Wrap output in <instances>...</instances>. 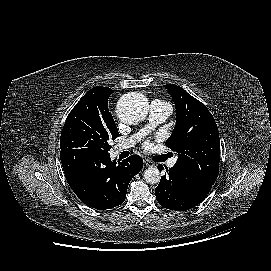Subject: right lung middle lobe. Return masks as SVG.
Returning a JSON list of instances; mask_svg holds the SVG:
<instances>
[{
	"mask_svg": "<svg viewBox=\"0 0 271 271\" xmlns=\"http://www.w3.org/2000/svg\"><path fill=\"white\" fill-rule=\"evenodd\" d=\"M113 90L96 86L90 89L69 113L60 139V149H77L107 154L109 142L119 136L108 99Z\"/></svg>",
	"mask_w": 271,
	"mask_h": 271,
	"instance_id": "dd1d6c3e",
	"label": "right lung middle lobe"
}]
</instances>
